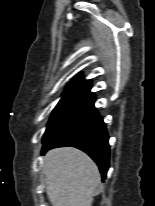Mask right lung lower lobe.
<instances>
[{"mask_svg":"<svg viewBox=\"0 0 155 206\" xmlns=\"http://www.w3.org/2000/svg\"><path fill=\"white\" fill-rule=\"evenodd\" d=\"M43 153L55 147L71 146L87 153L98 165L103 180L109 168L108 134L96 109L43 138Z\"/></svg>","mask_w":155,"mask_h":206,"instance_id":"obj_1","label":"right lung lower lobe"}]
</instances>
